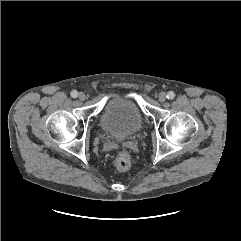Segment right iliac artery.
I'll return each instance as SVG.
<instances>
[{
    "label": "right iliac artery",
    "mask_w": 241,
    "mask_h": 241,
    "mask_svg": "<svg viewBox=\"0 0 241 241\" xmlns=\"http://www.w3.org/2000/svg\"><path fill=\"white\" fill-rule=\"evenodd\" d=\"M71 96H72L73 98H76V97L78 96V92H77L76 90H73V91L71 92Z\"/></svg>",
    "instance_id": "82829eb1"
}]
</instances>
